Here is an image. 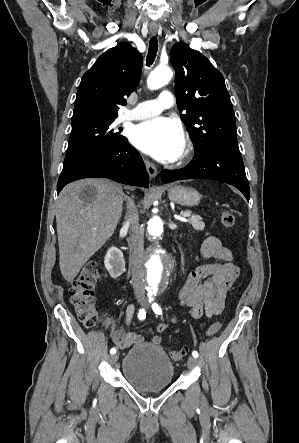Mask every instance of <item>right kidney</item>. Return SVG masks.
<instances>
[{
	"label": "right kidney",
	"instance_id": "obj_1",
	"mask_svg": "<svg viewBox=\"0 0 299 443\" xmlns=\"http://www.w3.org/2000/svg\"><path fill=\"white\" fill-rule=\"evenodd\" d=\"M104 264L112 278L116 279L121 276L125 270V260L121 250L116 247L109 248L104 259Z\"/></svg>",
	"mask_w": 299,
	"mask_h": 443
}]
</instances>
